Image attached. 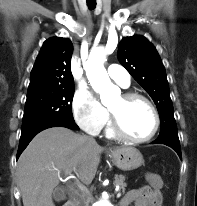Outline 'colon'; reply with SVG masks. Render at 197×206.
<instances>
[{
    "instance_id": "obj_1",
    "label": "colon",
    "mask_w": 197,
    "mask_h": 206,
    "mask_svg": "<svg viewBox=\"0 0 197 206\" xmlns=\"http://www.w3.org/2000/svg\"><path fill=\"white\" fill-rule=\"evenodd\" d=\"M149 181H150L151 187L153 188H159L162 183L160 177L155 174L150 176Z\"/></svg>"
}]
</instances>
